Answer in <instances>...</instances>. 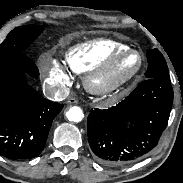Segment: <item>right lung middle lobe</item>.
Segmentation results:
<instances>
[{"instance_id": "dd1d6c3e", "label": "right lung middle lobe", "mask_w": 183, "mask_h": 183, "mask_svg": "<svg viewBox=\"0 0 183 183\" xmlns=\"http://www.w3.org/2000/svg\"><path fill=\"white\" fill-rule=\"evenodd\" d=\"M43 26H20L12 30L0 44V61L20 53L42 33Z\"/></svg>"}]
</instances>
